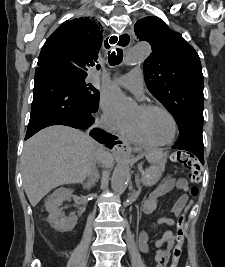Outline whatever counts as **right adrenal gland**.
Segmentation results:
<instances>
[{
    "label": "right adrenal gland",
    "instance_id": "1",
    "mask_svg": "<svg viewBox=\"0 0 225 267\" xmlns=\"http://www.w3.org/2000/svg\"><path fill=\"white\" fill-rule=\"evenodd\" d=\"M96 176H98L97 170H96ZM95 183V180H88L84 183V188L89 189L91 188Z\"/></svg>",
    "mask_w": 225,
    "mask_h": 267
}]
</instances>
